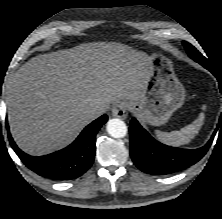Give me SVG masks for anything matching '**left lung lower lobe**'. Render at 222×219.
Listing matches in <instances>:
<instances>
[{"label":"left lung lower lobe","instance_id":"obj_1","mask_svg":"<svg viewBox=\"0 0 222 219\" xmlns=\"http://www.w3.org/2000/svg\"><path fill=\"white\" fill-rule=\"evenodd\" d=\"M192 59L213 73L208 60L206 62L203 59ZM219 122L222 127V117ZM217 129L205 146L193 150L180 149L166 146L156 141L133 118L129 127L130 155L134 164L145 173L152 175L174 173L195 164L206 154L212 144Z\"/></svg>","mask_w":222,"mask_h":219}]
</instances>
